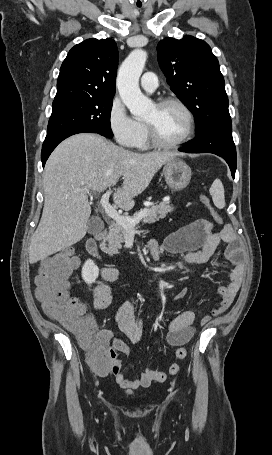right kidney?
<instances>
[{"label":"right kidney","instance_id":"1","mask_svg":"<svg viewBox=\"0 0 272 455\" xmlns=\"http://www.w3.org/2000/svg\"><path fill=\"white\" fill-rule=\"evenodd\" d=\"M99 275V268L92 260H87L82 268V278L87 284L95 282Z\"/></svg>","mask_w":272,"mask_h":455}]
</instances>
